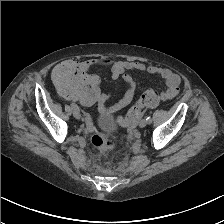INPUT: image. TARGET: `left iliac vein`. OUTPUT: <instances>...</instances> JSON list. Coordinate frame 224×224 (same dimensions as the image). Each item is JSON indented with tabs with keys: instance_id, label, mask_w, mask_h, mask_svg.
<instances>
[{
	"instance_id": "obj_1",
	"label": "left iliac vein",
	"mask_w": 224,
	"mask_h": 224,
	"mask_svg": "<svg viewBox=\"0 0 224 224\" xmlns=\"http://www.w3.org/2000/svg\"><path fill=\"white\" fill-rule=\"evenodd\" d=\"M147 125V121L146 119H142L139 122V127L144 128Z\"/></svg>"
}]
</instances>
